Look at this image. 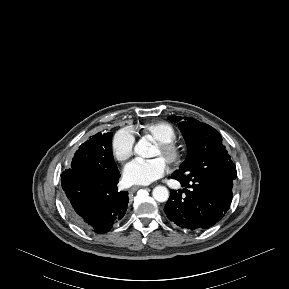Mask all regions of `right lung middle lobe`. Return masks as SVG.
<instances>
[{
	"instance_id": "obj_1",
	"label": "right lung middle lobe",
	"mask_w": 289,
	"mask_h": 289,
	"mask_svg": "<svg viewBox=\"0 0 289 289\" xmlns=\"http://www.w3.org/2000/svg\"><path fill=\"white\" fill-rule=\"evenodd\" d=\"M112 132L97 133L76 151L71 169L106 173L117 168L112 155Z\"/></svg>"
}]
</instances>
